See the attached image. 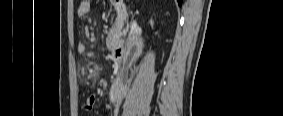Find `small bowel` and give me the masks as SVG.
I'll return each mask as SVG.
<instances>
[{
	"instance_id": "small-bowel-1",
	"label": "small bowel",
	"mask_w": 283,
	"mask_h": 116,
	"mask_svg": "<svg viewBox=\"0 0 283 116\" xmlns=\"http://www.w3.org/2000/svg\"><path fill=\"white\" fill-rule=\"evenodd\" d=\"M92 10H93V8H92L91 3L89 1H81L80 5L78 7L77 13L80 16H85V15L89 14L90 12H92ZM77 52L81 55L87 54V48H86L84 43H79L77 45ZM115 101H116V99H112V103L109 104L107 107L109 109H113L115 107L114 106ZM95 103H96L95 96H93V95L89 96L86 99L85 104H84L85 110L91 111L94 108Z\"/></svg>"
}]
</instances>
